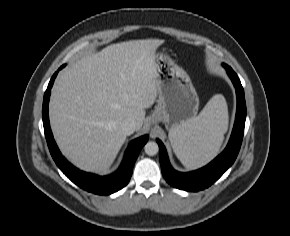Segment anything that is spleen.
I'll return each mask as SVG.
<instances>
[{"label":"spleen","mask_w":290,"mask_h":236,"mask_svg":"<svg viewBox=\"0 0 290 236\" xmlns=\"http://www.w3.org/2000/svg\"><path fill=\"white\" fill-rule=\"evenodd\" d=\"M228 128V108L223 95H214L198 116L169 132L173 151L186 168H198L219 152Z\"/></svg>","instance_id":"3e777b00"}]
</instances>
